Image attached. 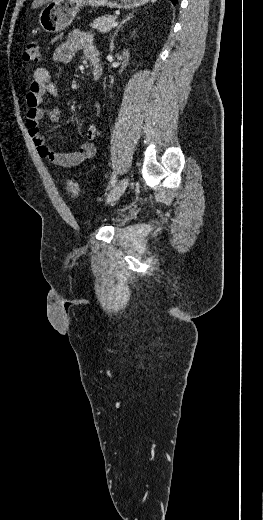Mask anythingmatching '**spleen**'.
<instances>
[{"label":"spleen","instance_id":"obj_1","mask_svg":"<svg viewBox=\"0 0 263 520\" xmlns=\"http://www.w3.org/2000/svg\"><path fill=\"white\" fill-rule=\"evenodd\" d=\"M157 0H151L152 3L156 2Z\"/></svg>","mask_w":263,"mask_h":520}]
</instances>
